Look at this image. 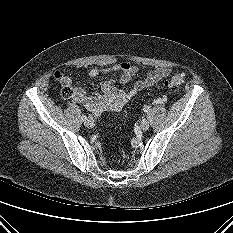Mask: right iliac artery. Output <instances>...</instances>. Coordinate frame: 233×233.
I'll return each instance as SVG.
<instances>
[{
	"instance_id": "right-iliac-artery-1",
	"label": "right iliac artery",
	"mask_w": 233,
	"mask_h": 233,
	"mask_svg": "<svg viewBox=\"0 0 233 233\" xmlns=\"http://www.w3.org/2000/svg\"><path fill=\"white\" fill-rule=\"evenodd\" d=\"M81 119H82L83 121H85V120L87 119L86 115H82V116H81Z\"/></svg>"
}]
</instances>
